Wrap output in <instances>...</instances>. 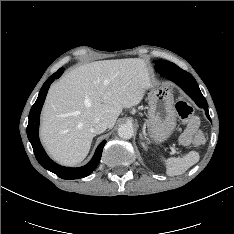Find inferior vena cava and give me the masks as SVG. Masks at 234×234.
I'll return each instance as SVG.
<instances>
[{"mask_svg": "<svg viewBox=\"0 0 234 234\" xmlns=\"http://www.w3.org/2000/svg\"><path fill=\"white\" fill-rule=\"evenodd\" d=\"M107 129V122L100 118H95L92 123V132L94 134L103 133Z\"/></svg>", "mask_w": 234, "mask_h": 234, "instance_id": "602c4592", "label": "inferior vena cava"}]
</instances>
